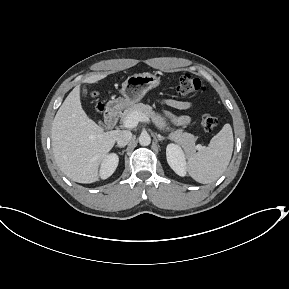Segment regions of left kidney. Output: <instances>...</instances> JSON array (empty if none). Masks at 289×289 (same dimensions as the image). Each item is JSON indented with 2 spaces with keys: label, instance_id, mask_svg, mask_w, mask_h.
Segmentation results:
<instances>
[{
  "label": "left kidney",
  "instance_id": "5707ae66",
  "mask_svg": "<svg viewBox=\"0 0 289 289\" xmlns=\"http://www.w3.org/2000/svg\"><path fill=\"white\" fill-rule=\"evenodd\" d=\"M166 157L169 166L179 176L186 175V157L182 148L174 143H170L166 147Z\"/></svg>",
  "mask_w": 289,
  "mask_h": 289
}]
</instances>
